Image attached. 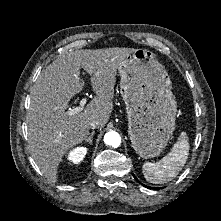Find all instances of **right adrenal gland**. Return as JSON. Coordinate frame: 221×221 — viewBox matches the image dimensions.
<instances>
[{"label":"right adrenal gland","instance_id":"right-adrenal-gland-1","mask_svg":"<svg viewBox=\"0 0 221 221\" xmlns=\"http://www.w3.org/2000/svg\"><path fill=\"white\" fill-rule=\"evenodd\" d=\"M94 133H95V131H92L91 134L85 139V142H88L91 145Z\"/></svg>","mask_w":221,"mask_h":221}]
</instances>
